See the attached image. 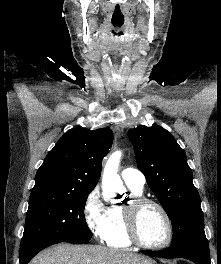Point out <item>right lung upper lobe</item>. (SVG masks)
I'll use <instances>...</instances> for the list:
<instances>
[{"label": "right lung upper lobe", "instance_id": "1", "mask_svg": "<svg viewBox=\"0 0 221 264\" xmlns=\"http://www.w3.org/2000/svg\"><path fill=\"white\" fill-rule=\"evenodd\" d=\"M113 143L109 128L66 132L38 169L32 192L92 191L99 181L102 160Z\"/></svg>", "mask_w": 221, "mask_h": 264}]
</instances>
